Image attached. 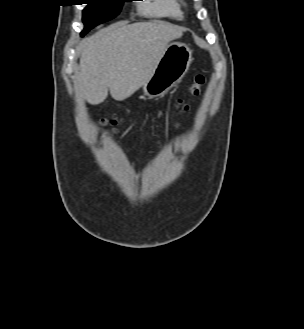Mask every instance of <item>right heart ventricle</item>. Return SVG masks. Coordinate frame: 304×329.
<instances>
[{
    "label": "right heart ventricle",
    "mask_w": 304,
    "mask_h": 329,
    "mask_svg": "<svg viewBox=\"0 0 304 329\" xmlns=\"http://www.w3.org/2000/svg\"><path fill=\"white\" fill-rule=\"evenodd\" d=\"M141 11L146 15L158 17H170L179 19L182 17V8L179 0H143Z\"/></svg>",
    "instance_id": "1"
}]
</instances>
